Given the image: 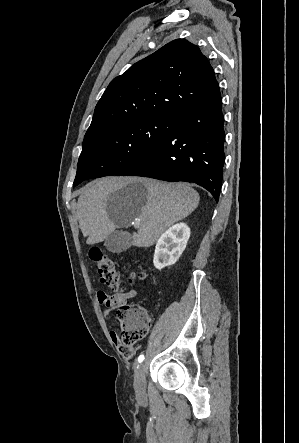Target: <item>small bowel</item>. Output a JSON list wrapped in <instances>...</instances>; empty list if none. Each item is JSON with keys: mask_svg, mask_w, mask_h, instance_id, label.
<instances>
[{"mask_svg": "<svg viewBox=\"0 0 299 443\" xmlns=\"http://www.w3.org/2000/svg\"><path fill=\"white\" fill-rule=\"evenodd\" d=\"M136 295L137 291L134 289L129 291L117 292L112 295L107 294L103 290L96 291L97 301L105 307V318H109L110 314L117 306L127 303L129 299L134 298ZM109 335L114 343H118V336L115 329L111 328L109 331Z\"/></svg>", "mask_w": 299, "mask_h": 443, "instance_id": "c3829d8e", "label": "small bowel"}]
</instances>
